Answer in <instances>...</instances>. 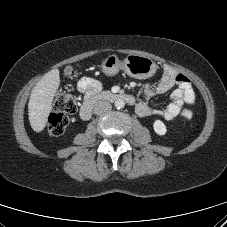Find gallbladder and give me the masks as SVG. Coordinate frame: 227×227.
Wrapping results in <instances>:
<instances>
[{"label":"gallbladder","instance_id":"1","mask_svg":"<svg viewBox=\"0 0 227 227\" xmlns=\"http://www.w3.org/2000/svg\"><path fill=\"white\" fill-rule=\"evenodd\" d=\"M71 70H72L71 67H69V66L66 67L65 70H64V74L69 75L71 73Z\"/></svg>","mask_w":227,"mask_h":227}]
</instances>
